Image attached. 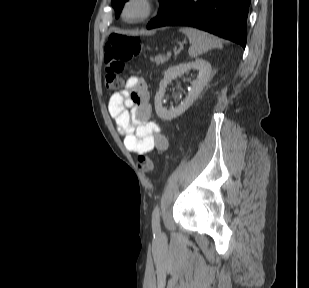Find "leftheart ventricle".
<instances>
[{
  "instance_id": "b2bd125f",
  "label": "left heart ventricle",
  "mask_w": 309,
  "mask_h": 288,
  "mask_svg": "<svg viewBox=\"0 0 309 288\" xmlns=\"http://www.w3.org/2000/svg\"><path fill=\"white\" fill-rule=\"evenodd\" d=\"M143 12V4L139 2L132 3L127 9V17L134 19L139 17Z\"/></svg>"
}]
</instances>
